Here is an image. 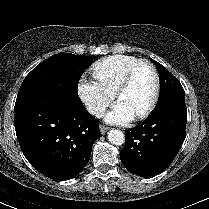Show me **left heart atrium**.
I'll use <instances>...</instances> for the list:
<instances>
[{"label":"left heart atrium","instance_id":"left-heart-atrium-1","mask_svg":"<svg viewBox=\"0 0 209 209\" xmlns=\"http://www.w3.org/2000/svg\"><path fill=\"white\" fill-rule=\"evenodd\" d=\"M105 119L112 124H127L134 119V114L121 102H117L107 113Z\"/></svg>","mask_w":209,"mask_h":209}]
</instances>
